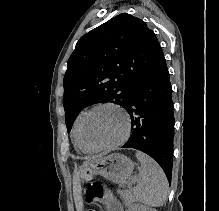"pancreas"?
Segmentation results:
<instances>
[{"label":"pancreas","mask_w":219,"mask_h":211,"mask_svg":"<svg viewBox=\"0 0 219 211\" xmlns=\"http://www.w3.org/2000/svg\"><path fill=\"white\" fill-rule=\"evenodd\" d=\"M121 195L124 197L126 205H131L132 201H134L132 193L129 191V189H124V191H121Z\"/></svg>","instance_id":"obj_1"}]
</instances>
